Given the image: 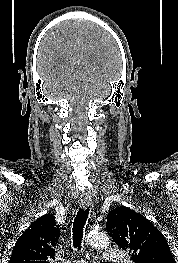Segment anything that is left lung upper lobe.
<instances>
[{
	"mask_svg": "<svg viewBox=\"0 0 178 263\" xmlns=\"http://www.w3.org/2000/svg\"><path fill=\"white\" fill-rule=\"evenodd\" d=\"M106 230L135 263H176L163 234L140 213L120 206L109 212Z\"/></svg>",
	"mask_w": 178,
	"mask_h": 263,
	"instance_id": "left-lung-upper-lobe-1",
	"label": "left lung upper lobe"
}]
</instances>
